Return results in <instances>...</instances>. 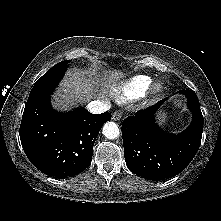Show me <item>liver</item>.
Returning a JSON list of instances; mask_svg holds the SVG:
<instances>
[{
	"label": "liver",
	"mask_w": 221,
	"mask_h": 221,
	"mask_svg": "<svg viewBox=\"0 0 221 221\" xmlns=\"http://www.w3.org/2000/svg\"><path fill=\"white\" fill-rule=\"evenodd\" d=\"M94 75L95 72L82 71L77 68L69 70L53 95L52 106L55 109L66 110L74 102L85 103L93 98L106 100L105 94L120 80L123 74L110 72L104 85L99 84L98 80H94ZM100 85H103L101 89Z\"/></svg>",
	"instance_id": "liver-1"
}]
</instances>
